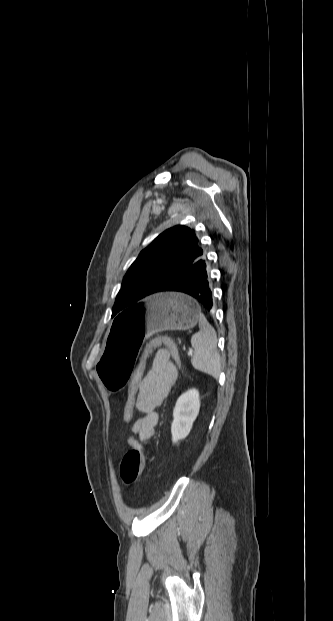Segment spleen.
Listing matches in <instances>:
<instances>
[{"mask_svg":"<svg viewBox=\"0 0 333 621\" xmlns=\"http://www.w3.org/2000/svg\"><path fill=\"white\" fill-rule=\"evenodd\" d=\"M200 331L191 337L194 348L192 366L213 378H218L221 372V359L217 350V335L205 316L199 320Z\"/></svg>","mask_w":333,"mask_h":621,"instance_id":"3e777b00","label":"spleen"}]
</instances>
